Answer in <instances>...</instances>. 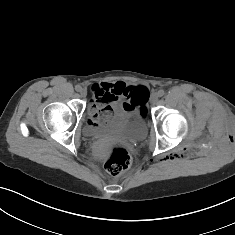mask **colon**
I'll return each instance as SVG.
<instances>
[{
	"mask_svg": "<svg viewBox=\"0 0 235 235\" xmlns=\"http://www.w3.org/2000/svg\"><path fill=\"white\" fill-rule=\"evenodd\" d=\"M148 90L140 86L129 96L126 107L128 111L134 110L142 105L146 99ZM112 117V111L109 108L101 109L95 116L96 120L107 121ZM106 168L112 176H119L126 172L131 165V158L128 151L121 145H112L107 153Z\"/></svg>",
	"mask_w": 235,
	"mask_h": 235,
	"instance_id": "1",
	"label": "colon"
}]
</instances>
